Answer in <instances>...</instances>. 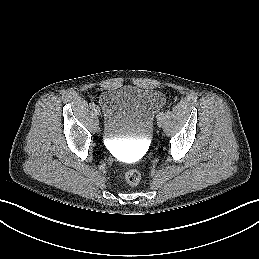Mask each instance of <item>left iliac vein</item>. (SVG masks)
<instances>
[{
  "label": "left iliac vein",
  "instance_id": "obj_1",
  "mask_svg": "<svg viewBox=\"0 0 259 259\" xmlns=\"http://www.w3.org/2000/svg\"><path fill=\"white\" fill-rule=\"evenodd\" d=\"M158 126L161 127L162 126V120L159 119L158 122H157Z\"/></svg>",
  "mask_w": 259,
  "mask_h": 259
}]
</instances>
